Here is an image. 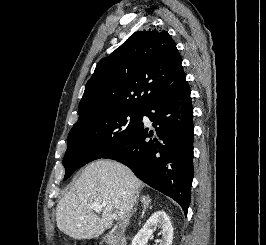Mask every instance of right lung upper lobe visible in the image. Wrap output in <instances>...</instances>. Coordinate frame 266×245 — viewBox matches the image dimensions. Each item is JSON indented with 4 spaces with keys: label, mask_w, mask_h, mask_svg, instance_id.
Wrapping results in <instances>:
<instances>
[{
    "label": "right lung upper lobe",
    "mask_w": 266,
    "mask_h": 245,
    "mask_svg": "<svg viewBox=\"0 0 266 245\" xmlns=\"http://www.w3.org/2000/svg\"><path fill=\"white\" fill-rule=\"evenodd\" d=\"M181 63L182 57L167 31L135 32L97 64L79 104V119L115 107L146 109L185 80Z\"/></svg>",
    "instance_id": "1"
}]
</instances>
